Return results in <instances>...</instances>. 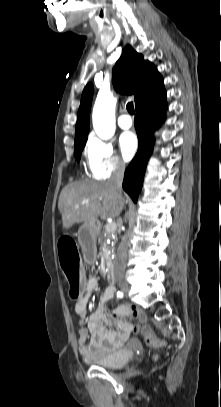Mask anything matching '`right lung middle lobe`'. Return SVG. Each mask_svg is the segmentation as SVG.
<instances>
[{
	"instance_id": "right-lung-middle-lobe-1",
	"label": "right lung middle lobe",
	"mask_w": 221,
	"mask_h": 407,
	"mask_svg": "<svg viewBox=\"0 0 221 407\" xmlns=\"http://www.w3.org/2000/svg\"><path fill=\"white\" fill-rule=\"evenodd\" d=\"M85 143L86 142H81V143L75 144L74 156L76 157L77 161L80 160L81 153H82V150H83V148L85 146Z\"/></svg>"
}]
</instances>
